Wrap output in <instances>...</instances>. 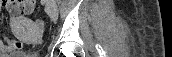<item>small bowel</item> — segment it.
Returning <instances> with one entry per match:
<instances>
[{
	"label": "small bowel",
	"mask_w": 172,
	"mask_h": 57,
	"mask_svg": "<svg viewBox=\"0 0 172 57\" xmlns=\"http://www.w3.org/2000/svg\"><path fill=\"white\" fill-rule=\"evenodd\" d=\"M9 4L15 5L18 7L17 15L15 20L22 19L25 14H29L33 11L35 6L34 0H23V1H13ZM23 47V43L20 40L10 39L7 36H4L0 39V53L2 54H12L15 53Z\"/></svg>",
	"instance_id": "small-bowel-1"
}]
</instances>
